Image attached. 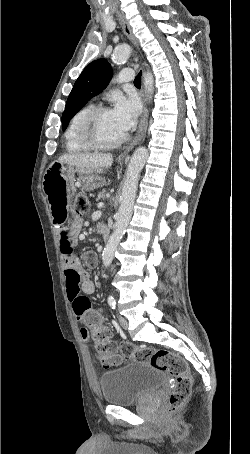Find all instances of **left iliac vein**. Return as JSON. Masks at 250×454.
<instances>
[{
    "mask_svg": "<svg viewBox=\"0 0 250 454\" xmlns=\"http://www.w3.org/2000/svg\"><path fill=\"white\" fill-rule=\"evenodd\" d=\"M119 321H120L121 327H122L123 329L126 330V329L128 328V321H127V319H126L125 317H123V316H120V317H119Z\"/></svg>",
    "mask_w": 250,
    "mask_h": 454,
    "instance_id": "4c4485c4",
    "label": "left iliac vein"
}]
</instances>
